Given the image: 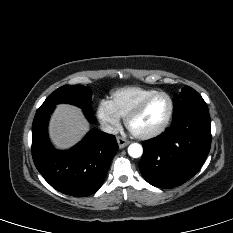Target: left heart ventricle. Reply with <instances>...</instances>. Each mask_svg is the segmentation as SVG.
<instances>
[{"instance_id":"obj_1","label":"left heart ventricle","mask_w":233,"mask_h":233,"mask_svg":"<svg viewBox=\"0 0 233 233\" xmlns=\"http://www.w3.org/2000/svg\"><path fill=\"white\" fill-rule=\"evenodd\" d=\"M169 112V101L165 96H157L131 122V128L137 133H147L159 128Z\"/></svg>"}]
</instances>
